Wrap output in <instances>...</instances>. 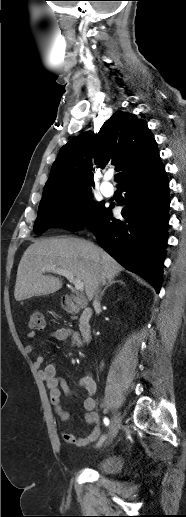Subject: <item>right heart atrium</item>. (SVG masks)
Instances as JSON below:
<instances>
[{
    "label": "right heart atrium",
    "mask_w": 186,
    "mask_h": 517,
    "mask_svg": "<svg viewBox=\"0 0 186 517\" xmlns=\"http://www.w3.org/2000/svg\"><path fill=\"white\" fill-rule=\"evenodd\" d=\"M80 207L78 205L74 206L72 209H71V213L74 215V216H77L80 212Z\"/></svg>",
    "instance_id": "obj_1"
}]
</instances>
